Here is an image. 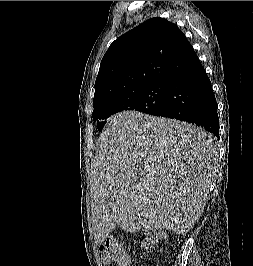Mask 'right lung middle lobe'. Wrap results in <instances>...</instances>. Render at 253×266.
Masks as SVG:
<instances>
[{
	"instance_id": "1",
	"label": "right lung middle lobe",
	"mask_w": 253,
	"mask_h": 266,
	"mask_svg": "<svg viewBox=\"0 0 253 266\" xmlns=\"http://www.w3.org/2000/svg\"><path fill=\"white\" fill-rule=\"evenodd\" d=\"M168 82H152L123 93L106 102L93 105V120L101 131L106 120L113 114L124 110H136L156 115L162 108Z\"/></svg>"
}]
</instances>
